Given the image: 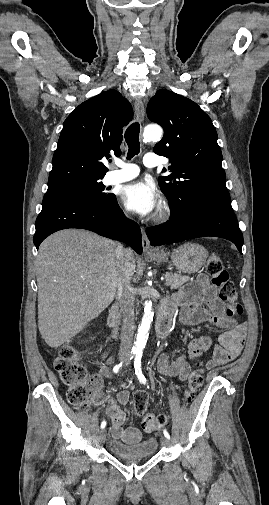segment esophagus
<instances>
[{"label": "esophagus", "instance_id": "esophagus-1", "mask_svg": "<svg viewBox=\"0 0 269 505\" xmlns=\"http://www.w3.org/2000/svg\"><path fill=\"white\" fill-rule=\"evenodd\" d=\"M134 108H135V115H136L137 120L140 122H143L144 117H145V107H144L143 101L142 100L135 101ZM141 233H142L143 251L145 253L155 252L156 249L150 245L149 239L147 237V234H146V231L144 228H141Z\"/></svg>", "mask_w": 269, "mask_h": 505}]
</instances>
